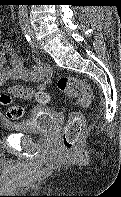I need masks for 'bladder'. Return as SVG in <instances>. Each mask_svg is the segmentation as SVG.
<instances>
[{"instance_id": "bladder-1", "label": "bladder", "mask_w": 121, "mask_h": 197, "mask_svg": "<svg viewBox=\"0 0 121 197\" xmlns=\"http://www.w3.org/2000/svg\"><path fill=\"white\" fill-rule=\"evenodd\" d=\"M56 113L53 109L41 107L38 108L34 115L31 117L14 122L7 125L10 131L18 133H42L45 130L51 128Z\"/></svg>"}]
</instances>
